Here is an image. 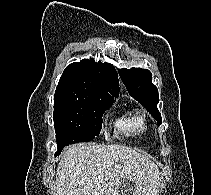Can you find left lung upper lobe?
Instances as JSON below:
<instances>
[{"mask_svg": "<svg viewBox=\"0 0 211 195\" xmlns=\"http://www.w3.org/2000/svg\"><path fill=\"white\" fill-rule=\"evenodd\" d=\"M119 75L129 94L141 103L160 125L162 118L157 109L159 102L158 89L152 83L151 72L147 69L122 68L119 69Z\"/></svg>", "mask_w": 211, "mask_h": 195, "instance_id": "5c2ea615", "label": "left lung upper lobe"}]
</instances>
